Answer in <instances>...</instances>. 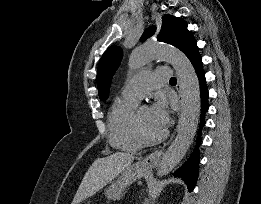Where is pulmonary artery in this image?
Returning a JSON list of instances; mask_svg holds the SVG:
<instances>
[{"label":"pulmonary artery","instance_id":"1","mask_svg":"<svg viewBox=\"0 0 261 204\" xmlns=\"http://www.w3.org/2000/svg\"><path fill=\"white\" fill-rule=\"evenodd\" d=\"M170 77L171 70L168 67L140 72L124 87L121 97L140 101L148 91L166 83Z\"/></svg>","mask_w":261,"mask_h":204}]
</instances>
